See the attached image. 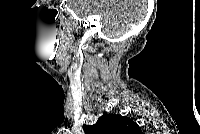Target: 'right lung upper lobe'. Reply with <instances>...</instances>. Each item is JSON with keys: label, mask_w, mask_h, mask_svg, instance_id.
I'll return each mask as SVG.
<instances>
[{"label": "right lung upper lobe", "mask_w": 200, "mask_h": 134, "mask_svg": "<svg viewBox=\"0 0 200 134\" xmlns=\"http://www.w3.org/2000/svg\"><path fill=\"white\" fill-rule=\"evenodd\" d=\"M86 134H139V126L131 119L116 115L106 114L101 116L96 123L84 129Z\"/></svg>", "instance_id": "1"}]
</instances>
